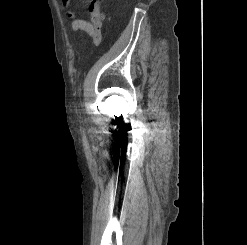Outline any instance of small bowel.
<instances>
[{
	"label": "small bowel",
	"instance_id": "c3829d8e",
	"mask_svg": "<svg viewBox=\"0 0 247 245\" xmlns=\"http://www.w3.org/2000/svg\"><path fill=\"white\" fill-rule=\"evenodd\" d=\"M62 6L65 9V17L71 21V29L77 33L79 31L85 32L89 38H91L94 44L98 45L101 42L102 34L101 27L102 22L97 17L98 10L94 7L91 10L92 18L91 21L76 18L74 11L69 8L70 0H61Z\"/></svg>",
	"mask_w": 247,
	"mask_h": 245
}]
</instances>
